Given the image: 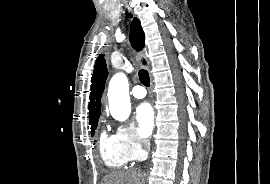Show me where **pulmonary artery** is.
<instances>
[{"label":"pulmonary artery","mask_w":270,"mask_h":184,"mask_svg":"<svg viewBox=\"0 0 270 184\" xmlns=\"http://www.w3.org/2000/svg\"><path fill=\"white\" fill-rule=\"evenodd\" d=\"M132 95L137 99H142L146 96V90L140 85L134 86L132 89Z\"/></svg>","instance_id":"obj_1"}]
</instances>
